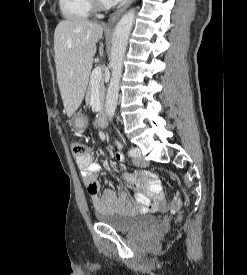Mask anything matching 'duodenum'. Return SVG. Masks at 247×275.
<instances>
[{"label": "duodenum", "mask_w": 247, "mask_h": 275, "mask_svg": "<svg viewBox=\"0 0 247 275\" xmlns=\"http://www.w3.org/2000/svg\"><path fill=\"white\" fill-rule=\"evenodd\" d=\"M108 119L105 111H100L97 115V126L100 128H105L107 125Z\"/></svg>", "instance_id": "duodenum-1"}]
</instances>
